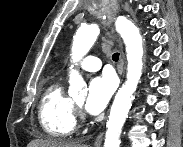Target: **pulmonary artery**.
Returning a JSON list of instances; mask_svg holds the SVG:
<instances>
[{"label":"pulmonary artery","instance_id":"obj_1","mask_svg":"<svg viewBox=\"0 0 183 147\" xmlns=\"http://www.w3.org/2000/svg\"><path fill=\"white\" fill-rule=\"evenodd\" d=\"M102 63L96 56H87L80 63L79 67L83 70L94 72L101 68Z\"/></svg>","mask_w":183,"mask_h":147}]
</instances>
